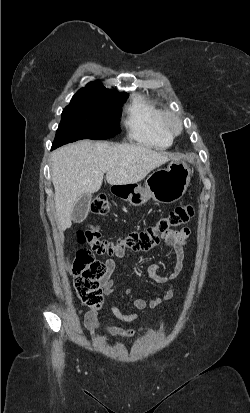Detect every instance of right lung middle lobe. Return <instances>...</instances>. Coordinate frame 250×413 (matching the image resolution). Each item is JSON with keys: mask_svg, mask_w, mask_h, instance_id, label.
<instances>
[{"mask_svg": "<svg viewBox=\"0 0 250 413\" xmlns=\"http://www.w3.org/2000/svg\"><path fill=\"white\" fill-rule=\"evenodd\" d=\"M124 97L78 91L61 115L53 148L81 139L104 140L120 132Z\"/></svg>", "mask_w": 250, "mask_h": 413, "instance_id": "1", "label": "right lung middle lobe"}]
</instances>
